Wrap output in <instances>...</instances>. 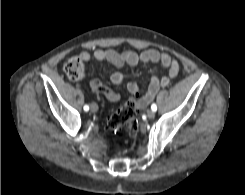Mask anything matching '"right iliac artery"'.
I'll list each match as a JSON object with an SVG mask.
<instances>
[{
    "label": "right iliac artery",
    "instance_id": "1",
    "mask_svg": "<svg viewBox=\"0 0 245 195\" xmlns=\"http://www.w3.org/2000/svg\"><path fill=\"white\" fill-rule=\"evenodd\" d=\"M89 110V106L88 105H85L84 106V111H88Z\"/></svg>",
    "mask_w": 245,
    "mask_h": 195
}]
</instances>
